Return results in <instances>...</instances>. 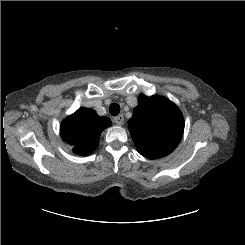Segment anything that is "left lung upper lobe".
<instances>
[{
	"instance_id": "5c2ea615",
	"label": "left lung upper lobe",
	"mask_w": 245,
	"mask_h": 245,
	"mask_svg": "<svg viewBox=\"0 0 245 245\" xmlns=\"http://www.w3.org/2000/svg\"><path fill=\"white\" fill-rule=\"evenodd\" d=\"M128 124L137 151L149 159L170 154L184 131L182 113L174 103L163 97L144 94L139 95L138 106Z\"/></svg>"
}]
</instances>
